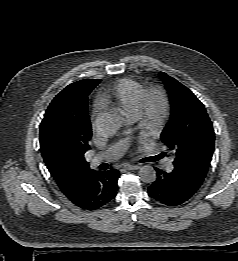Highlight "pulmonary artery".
Masks as SVG:
<instances>
[{"label":"pulmonary artery","instance_id":"1","mask_svg":"<svg viewBox=\"0 0 238 261\" xmlns=\"http://www.w3.org/2000/svg\"><path fill=\"white\" fill-rule=\"evenodd\" d=\"M126 148H127V141L126 140L119 141L118 143H115L114 145L96 154L92 158V163L94 165H97L104 161L115 160L124 154ZM165 168L168 171H171L173 169L172 159H167L165 161Z\"/></svg>","mask_w":238,"mask_h":261}]
</instances>
